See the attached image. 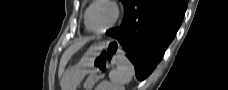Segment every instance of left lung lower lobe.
<instances>
[{"instance_id": "0a47b994", "label": "left lung lower lobe", "mask_w": 228, "mask_h": 90, "mask_svg": "<svg viewBox=\"0 0 228 90\" xmlns=\"http://www.w3.org/2000/svg\"><path fill=\"white\" fill-rule=\"evenodd\" d=\"M187 0H128L120 27L106 33L124 47L138 80L161 60L183 20Z\"/></svg>"}]
</instances>
